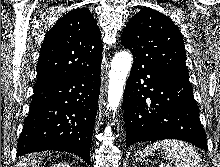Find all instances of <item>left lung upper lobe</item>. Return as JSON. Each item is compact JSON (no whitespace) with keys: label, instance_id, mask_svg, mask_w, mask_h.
I'll list each match as a JSON object with an SVG mask.
<instances>
[{"label":"left lung upper lobe","instance_id":"left-lung-upper-lobe-1","mask_svg":"<svg viewBox=\"0 0 220 167\" xmlns=\"http://www.w3.org/2000/svg\"><path fill=\"white\" fill-rule=\"evenodd\" d=\"M121 43L143 67L188 77L184 41L178 27L164 14L144 8L127 24Z\"/></svg>","mask_w":220,"mask_h":167}]
</instances>
